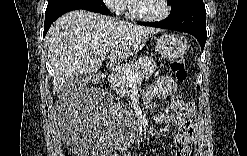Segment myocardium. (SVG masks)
Listing matches in <instances>:
<instances>
[{
  "mask_svg": "<svg viewBox=\"0 0 247 156\" xmlns=\"http://www.w3.org/2000/svg\"><path fill=\"white\" fill-rule=\"evenodd\" d=\"M161 4H162V12L157 14V15H152V16H143L137 13L136 9H135V1H130L129 2V15L137 20V21H141V22H157V21H161L163 19H165L169 13H170V7H169V3L167 0H160Z\"/></svg>",
  "mask_w": 247,
  "mask_h": 156,
  "instance_id": "1",
  "label": "myocardium"
}]
</instances>
